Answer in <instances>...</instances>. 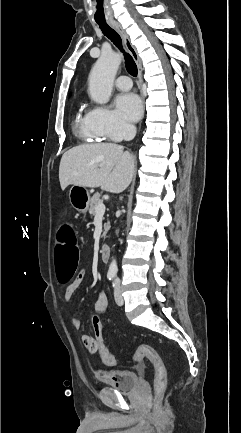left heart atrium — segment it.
I'll return each instance as SVG.
<instances>
[{
    "label": "left heart atrium",
    "mask_w": 241,
    "mask_h": 433,
    "mask_svg": "<svg viewBox=\"0 0 241 433\" xmlns=\"http://www.w3.org/2000/svg\"><path fill=\"white\" fill-rule=\"evenodd\" d=\"M118 115L128 121H137L142 114V103L140 98L133 93H123L116 97L114 102Z\"/></svg>",
    "instance_id": "39dd6f15"
}]
</instances>
